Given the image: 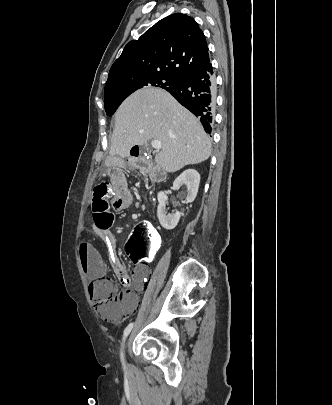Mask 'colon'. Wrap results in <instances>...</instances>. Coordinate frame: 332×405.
<instances>
[{
    "label": "colon",
    "mask_w": 332,
    "mask_h": 405,
    "mask_svg": "<svg viewBox=\"0 0 332 405\" xmlns=\"http://www.w3.org/2000/svg\"><path fill=\"white\" fill-rule=\"evenodd\" d=\"M114 196L112 186L108 182L98 184L93 191L92 213L94 227L99 231H107L112 224L114 215L110 204ZM158 231L149 221H141L132 228L126 256H133L134 267H147L153 261L161 244ZM91 298L101 316L113 319L125 314L127 303L136 291L120 292L116 282L110 277L95 279L89 288Z\"/></svg>",
    "instance_id": "obj_1"
}]
</instances>
